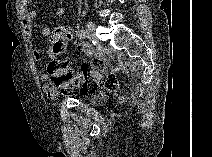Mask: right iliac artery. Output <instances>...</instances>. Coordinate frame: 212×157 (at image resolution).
<instances>
[{"instance_id": "obj_1", "label": "right iliac artery", "mask_w": 212, "mask_h": 157, "mask_svg": "<svg viewBox=\"0 0 212 157\" xmlns=\"http://www.w3.org/2000/svg\"><path fill=\"white\" fill-rule=\"evenodd\" d=\"M77 36H78L80 39H86V38L89 37V34H88V31H87V30L81 29V30H79V31L77 32Z\"/></svg>"}]
</instances>
